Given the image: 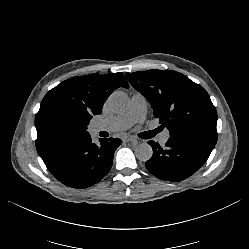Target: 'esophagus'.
I'll return each mask as SVG.
<instances>
[{
    "instance_id": "34e87169",
    "label": "esophagus",
    "mask_w": 249,
    "mask_h": 249,
    "mask_svg": "<svg viewBox=\"0 0 249 249\" xmlns=\"http://www.w3.org/2000/svg\"><path fill=\"white\" fill-rule=\"evenodd\" d=\"M134 140V137L133 136H130V135H127V136H123L122 137V141L124 142H131Z\"/></svg>"
}]
</instances>
